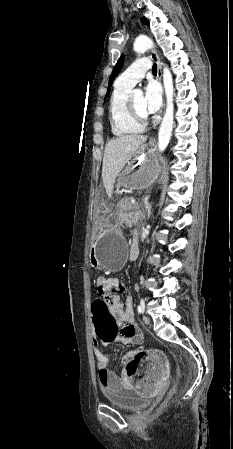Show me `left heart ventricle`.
<instances>
[{
    "instance_id": "left-heart-ventricle-1",
    "label": "left heart ventricle",
    "mask_w": 233,
    "mask_h": 449,
    "mask_svg": "<svg viewBox=\"0 0 233 449\" xmlns=\"http://www.w3.org/2000/svg\"><path fill=\"white\" fill-rule=\"evenodd\" d=\"M133 101H134V104H135L137 110L140 113H146L145 107H144V97L142 95H140V94L139 95H134L133 96Z\"/></svg>"
}]
</instances>
